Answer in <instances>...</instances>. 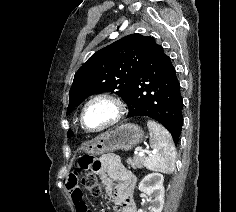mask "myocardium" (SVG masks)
<instances>
[{
  "label": "myocardium",
  "mask_w": 236,
  "mask_h": 212,
  "mask_svg": "<svg viewBox=\"0 0 236 212\" xmlns=\"http://www.w3.org/2000/svg\"><path fill=\"white\" fill-rule=\"evenodd\" d=\"M98 101H104V102L109 103L113 108V115L101 127L92 129V128H89L85 125L84 115H85V111L87 110V108L91 104L98 102ZM124 114H125V105L119 97H117L116 95H113L111 93H106V92L98 93V94H95L92 97H90L83 104L81 111H80V124H81V127L86 132L97 133V132L104 131V130L116 125L123 118Z\"/></svg>",
  "instance_id": "f54148a6"
}]
</instances>
